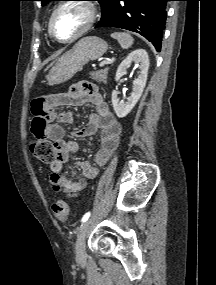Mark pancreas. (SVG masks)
I'll return each mask as SVG.
<instances>
[{"label":"pancreas","mask_w":216,"mask_h":285,"mask_svg":"<svg viewBox=\"0 0 216 285\" xmlns=\"http://www.w3.org/2000/svg\"><path fill=\"white\" fill-rule=\"evenodd\" d=\"M109 68H105L99 71H93L90 73V78L98 83H106Z\"/></svg>","instance_id":"cf45deb5"}]
</instances>
